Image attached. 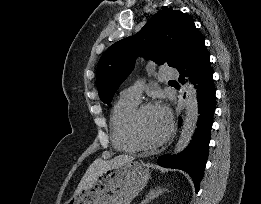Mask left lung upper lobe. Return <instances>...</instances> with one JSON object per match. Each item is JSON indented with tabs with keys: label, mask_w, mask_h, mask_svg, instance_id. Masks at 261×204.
Here are the masks:
<instances>
[{
	"label": "left lung upper lobe",
	"mask_w": 261,
	"mask_h": 204,
	"mask_svg": "<svg viewBox=\"0 0 261 204\" xmlns=\"http://www.w3.org/2000/svg\"><path fill=\"white\" fill-rule=\"evenodd\" d=\"M198 32L185 13L170 8L159 11L137 34L114 43L101 56L96 76L100 99L111 103L116 90L133 70L137 56L178 68Z\"/></svg>",
	"instance_id": "5c2ea615"
}]
</instances>
